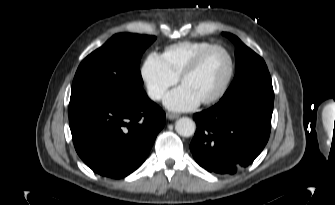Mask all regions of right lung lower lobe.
<instances>
[{
	"label": "right lung lower lobe",
	"mask_w": 335,
	"mask_h": 205,
	"mask_svg": "<svg viewBox=\"0 0 335 205\" xmlns=\"http://www.w3.org/2000/svg\"><path fill=\"white\" fill-rule=\"evenodd\" d=\"M75 149L96 173L123 178L147 158L165 113L145 92L132 97H88L69 103Z\"/></svg>",
	"instance_id": "1"
}]
</instances>
